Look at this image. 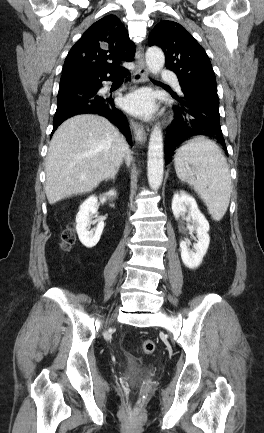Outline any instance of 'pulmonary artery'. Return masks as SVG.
<instances>
[{"instance_id": "pulmonary-artery-1", "label": "pulmonary artery", "mask_w": 264, "mask_h": 433, "mask_svg": "<svg viewBox=\"0 0 264 433\" xmlns=\"http://www.w3.org/2000/svg\"><path fill=\"white\" fill-rule=\"evenodd\" d=\"M160 76H161L162 79H165V80L172 79L173 86L177 90H180L179 82L177 80L173 79V73L172 72H170L169 70H166V69H162L161 73H160Z\"/></svg>"}]
</instances>
